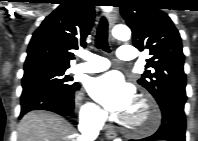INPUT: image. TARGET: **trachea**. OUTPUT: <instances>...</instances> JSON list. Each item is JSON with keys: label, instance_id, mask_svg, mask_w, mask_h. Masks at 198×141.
<instances>
[{"label": "trachea", "instance_id": "3493384b", "mask_svg": "<svg viewBox=\"0 0 198 141\" xmlns=\"http://www.w3.org/2000/svg\"><path fill=\"white\" fill-rule=\"evenodd\" d=\"M107 38H108V22L105 17H102L97 29L95 44L97 48H100L106 52H110Z\"/></svg>", "mask_w": 198, "mask_h": 141}]
</instances>
